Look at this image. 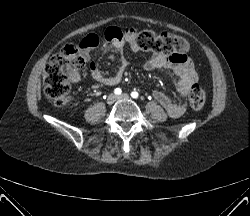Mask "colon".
<instances>
[{"instance_id":"5ec220e1","label":"colon","mask_w":250,"mask_h":216,"mask_svg":"<svg viewBox=\"0 0 250 216\" xmlns=\"http://www.w3.org/2000/svg\"><path fill=\"white\" fill-rule=\"evenodd\" d=\"M108 41L124 39L140 50L152 51L162 55H185L188 42L181 36L170 33H156L152 30L126 29L110 27L105 31ZM84 66V59L75 46H66L53 55L43 74L44 92L55 106L61 107L70 101L71 79L75 72ZM205 92L193 83L189 89V102L193 110L199 111L205 104Z\"/></svg>"}]
</instances>
